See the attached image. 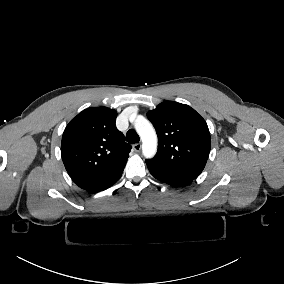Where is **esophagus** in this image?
I'll return each mask as SVG.
<instances>
[{
    "instance_id": "1",
    "label": "esophagus",
    "mask_w": 284,
    "mask_h": 284,
    "mask_svg": "<svg viewBox=\"0 0 284 284\" xmlns=\"http://www.w3.org/2000/svg\"><path fill=\"white\" fill-rule=\"evenodd\" d=\"M141 143H136L135 145H133V149L136 151V152H140L141 150Z\"/></svg>"
}]
</instances>
